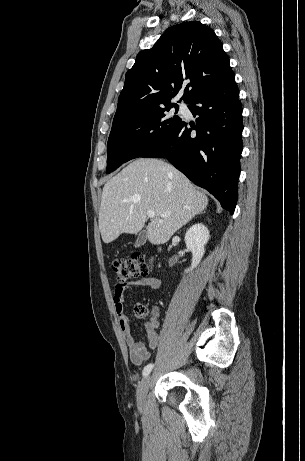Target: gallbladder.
<instances>
[{
    "mask_svg": "<svg viewBox=\"0 0 305 461\" xmlns=\"http://www.w3.org/2000/svg\"><path fill=\"white\" fill-rule=\"evenodd\" d=\"M146 239H147V234H146V230H141L137 236V239L135 241V244H134V247L135 248H138V247H141L142 245L145 244L146 242Z\"/></svg>",
    "mask_w": 305,
    "mask_h": 461,
    "instance_id": "gallbladder-1",
    "label": "gallbladder"
}]
</instances>
